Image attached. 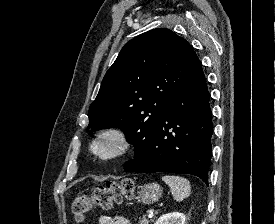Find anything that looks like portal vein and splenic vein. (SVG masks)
<instances>
[{"label":"portal vein and splenic vein","mask_w":275,"mask_h":224,"mask_svg":"<svg viewBox=\"0 0 275 224\" xmlns=\"http://www.w3.org/2000/svg\"><path fill=\"white\" fill-rule=\"evenodd\" d=\"M154 216L153 212H149L148 218H152Z\"/></svg>","instance_id":"obj_1"}]
</instances>
